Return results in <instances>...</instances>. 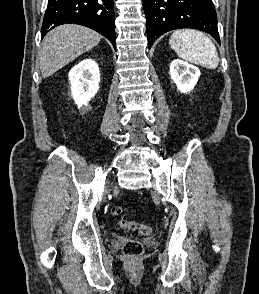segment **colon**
I'll return each instance as SVG.
<instances>
[{"mask_svg":"<svg viewBox=\"0 0 259 294\" xmlns=\"http://www.w3.org/2000/svg\"><path fill=\"white\" fill-rule=\"evenodd\" d=\"M113 216H120L123 214V208L120 206H113L111 208ZM118 227L124 230H129L142 235H150L154 232V227L149 224H140L135 221L120 220L117 223ZM144 252L143 244L137 240H130L123 246V253L132 259L140 257Z\"/></svg>","mask_w":259,"mask_h":294,"instance_id":"5ec220e1","label":"colon"}]
</instances>
